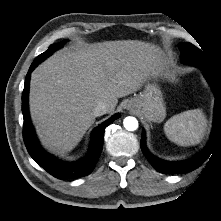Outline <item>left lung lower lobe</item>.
<instances>
[{
	"instance_id": "0a47b994",
	"label": "left lung lower lobe",
	"mask_w": 221,
	"mask_h": 221,
	"mask_svg": "<svg viewBox=\"0 0 221 221\" xmlns=\"http://www.w3.org/2000/svg\"><path fill=\"white\" fill-rule=\"evenodd\" d=\"M202 70L206 80L209 82L215 93L214 122L210 141L204 150L195 157L180 162H168L155 157L147 150L145 145V132L143 131L140 143L141 150L150 164L160 173L181 174L196 169L202 165L204 161H206V159L210 156L214 145L221 139V83L219 82L210 65L203 68Z\"/></svg>"
}]
</instances>
